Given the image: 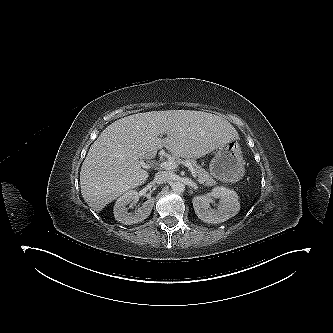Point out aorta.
<instances>
[{
  "label": "aorta",
  "mask_w": 333,
  "mask_h": 333,
  "mask_svg": "<svg viewBox=\"0 0 333 333\" xmlns=\"http://www.w3.org/2000/svg\"><path fill=\"white\" fill-rule=\"evenodd\" d=\"M171 188L175 193H181L185 190V185L180 181H176L171 185Z\"/></svg>",
  "instance_id": "762f6f07"
}]
</instances>
